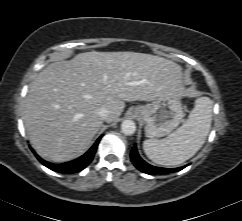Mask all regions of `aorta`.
<instances>
[{"instance_id": "762f6f07", "label": "aorta", "mask_w": 242, "mask_h": 221, "mask_svg": "<svg viewBox=\"0 0 242 221\" xmlns=\"http://www.w3.org/2000/svg\"><path fill=\"white\" fill-rule=\"evenodd\" d=\"M121 131L125 135H133L136 131V125L134 121L130 119L124 120L121 124Z\"/></svg>"}]
</instances>
